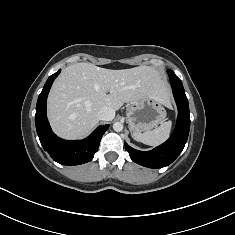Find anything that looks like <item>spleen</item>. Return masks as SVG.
<instances>
[{"mask_svg":"<svg viewBox=\"0 0 235 235\" xmlns=\"http://www.w3.org/2000/svg\"><path fill=\"white\" fill-rule=\"evenodd\" d=\"M171 126V121H166L152 131L141 134H132V136L135 140L146 145L157 146L167 140L170 135Z\"/></svg>","mask_w":235,"mask_h":235,"instance_id":"3e777b00","label":"spleen"}]
</instances>
